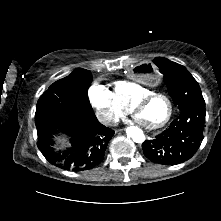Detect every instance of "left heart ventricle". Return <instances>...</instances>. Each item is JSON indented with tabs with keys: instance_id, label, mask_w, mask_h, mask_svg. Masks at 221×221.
Here are the masks:
<instances>
[{
	"instance_id": "b2bd125f",
	"label": "left heart ventricle",
	"mask_w": 221,
	"mask_h": 221,
	"mask_svg": "<svg viewBox=\"0 0 221 221\" xmlns=\"http://www.w3.org/2000/svg\"><path fill=\"white\" fill-rule=\"evenodd\" d=\"M168 111L169 105L167 101L161 97H156L141 109L139 118L144 123L157 124L167 116Z\"/></svg>"
}]
</instances>
